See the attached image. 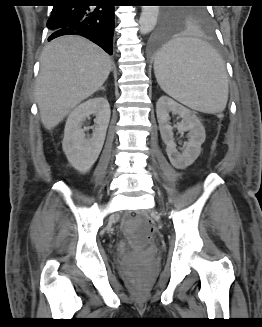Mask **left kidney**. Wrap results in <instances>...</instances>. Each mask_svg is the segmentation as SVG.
<instances>
[{"mask_svg": "<svg viewBox=\"0 0 262 327\" xmlns=\"http://www.w3.org/2000/svg\"><path fill=\"white\" fill-rule=\"evenodd\" d=\"M170 112L182 118L177 128L180 131H189V139L182 153H178L173 139V127L169 124ZM156 114L171 164L177 169L187 168L201 153V145L206 138L204 126L194 112L167 96H162L157 101Z\"/></svg>", "mask_w": 262, "mask_h": 327, "instance_id": "left-kidney-1", "label": "left kidney"}]
</instances>
